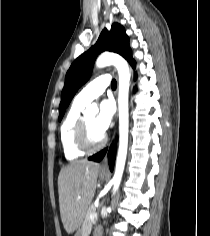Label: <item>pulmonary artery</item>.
Here are the masks:
<instances>
[{"instance_id":"pulmonary-artery-1","label":"pulmonary artery","mask_w":210,"mask_h":236,"mask_svg":"<svg viewBox=\"0 0 210 236\" xmlns=\"http://www.w3.org/2000/svg\"><path fill=\"white\" fill-rule=\"evenodd\" d=\"M111 77L109 75H103L92 82H90L88 85H86L76 96V100L79 103H82L84 105L89 104L93 99L101 95L106 87L110 84Z\"/></svg>"}]
</instances>
